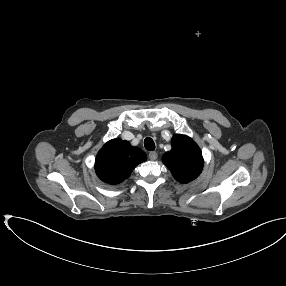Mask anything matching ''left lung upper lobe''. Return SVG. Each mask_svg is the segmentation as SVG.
I'll return each instance as SVG.
<instances>
[{"label":"left lung upper lobe","instance_id":"1","mask_svg":"<svg viewBox=\"0 0 286 286\" xmlns=\"http://www.w3.org/2000/svg\"><path fill=\"white\" fill-rule=\"evenodd\" d=\"M172 149L162 156L163 163L180 183L196 179L203 168L204 160L198 145L186 135H174Z\"/></svg>","mask_w":286,"mask_h":286}]
</instances>
